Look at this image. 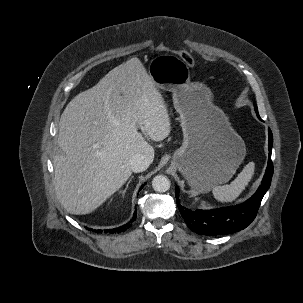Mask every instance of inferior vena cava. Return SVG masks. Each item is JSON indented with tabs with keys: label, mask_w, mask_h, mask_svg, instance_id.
Here are the masks:
<instances>
[{
	"label": "inferior vena cava",
	"mask_w": 303,
	"mask_h": 303,
	"mask_svg": "<svg viewBox=\"0 0 303 303\" xmlns=\"http://www.w3.org/2000/svg\"><path fill=\"white\" fill-rule=\"evenodd\" d=\"M151 164V160L142 154H136L130 159V167L133 172H142Z\"/></svg>",
	"instance_id": "inferior-vena-cava-1"
}]
</instances>
